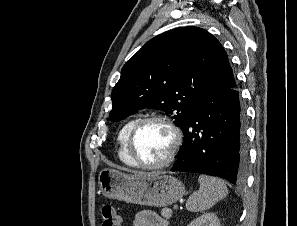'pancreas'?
<instances>
[{
	"label": "pancreas",
	"mask_w": 297,
	"mask_h": 226,
	"mask_svg": "<svg viewBox=\"0 0 297 226\" xmlns=\"http://www.w3.org/2000/svg\"><path fill=\"white\" fill-rule=\"evenodd\" d=\"M161 215L166 218V219H169L172 215V210L171 209H168V208H163L162 211H161Z\"/></svg>",
	"instance_id": "obj_1"
}]
</instances>
